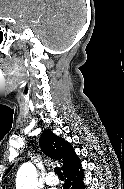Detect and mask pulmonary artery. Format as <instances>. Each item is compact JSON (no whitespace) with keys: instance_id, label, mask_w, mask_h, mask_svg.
<instances>
[{"instance_id":"e3ab8cb5","label":"pulmonary artery","mask_w":124,"mask_h":189,"mask_svg":"<svg viewBox=\"0 0 124 189\" xmlns=\"http://www.w3.org/2000/svg\"><path fill=\"white\" fill-rule=\"evenodd\" d=\"M45 182L49 186H55L59 183V179L54 174L49 173L45 178Z\"/></svg>"}]
</instances>
